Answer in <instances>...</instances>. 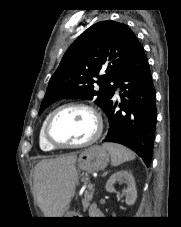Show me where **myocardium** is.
I'll use <instances>...</instances> for the list:
<instances>
[{
	"label": "myocardium",
	"instance_id": "1",
	"mask_svg": "<svg viewBox=\"0 0 181 227\" xmlns=\"http://www.w3.org/2000/svg\"><path fill=\"white\" fill-rule=\"evenodd\" d=\"M67 108H81V109L88 111L93 116V118L95 120L96 128H95L93 135L89 139H87L83 142H80V143H64V142H60V141L56 140L53 137V135L51 133L53 120L60 111L67 109ZM102 131H103L102 118L93 106L83 103V102H68V103L58 106L56 109H54L49 114L45 127H44V136H45L46 140L49 142V144L55 148H84V147H88V146L92 145L93 143H95L100 138Z\"/></svg>",
	"mask_w": 181,
	"mask_h": 227
}]
</instances>
